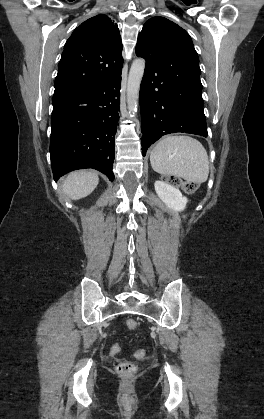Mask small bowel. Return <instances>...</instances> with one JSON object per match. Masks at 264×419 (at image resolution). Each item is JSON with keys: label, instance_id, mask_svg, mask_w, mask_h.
Instances as JSON below:
<instances>
[{"label": "small bowel", "instance_id": "small-bowel-1", "mask_svg": "<svg viewBox=\"0 0 264 419\" xmlns=\"http://www.w3.org/2000/svg\"><path fill=\"white\" fill-rule=\"evenodd\" d=\"M119 350H120L119 345L118 344H113L111 346L110 352H111V354L114 355V354H117L119 352Z\"/></svg>", "mask_w": 264, "mask_h": 419}]
</instances>
